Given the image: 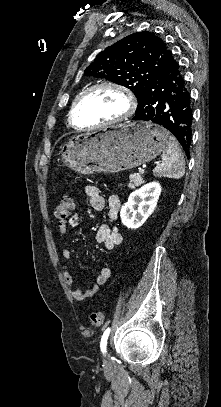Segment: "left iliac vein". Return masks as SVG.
<instances>
[{
	"mask_svg": "<svg viewBox=\"0 0 221 407\" xmlns=\"http://www.w3.org/2000/svg\"><path fill=\"white\" fill-rule=\"evenodd\" d=\"M104 359H108L110 357V354L108 351H106L103 355Z\"/></svg>",
	"mask_w": 221,
	"mask_h": 407,
	"instance_id": "4c4485c4",
	"label": "left iliac vein"
}]
</instances>
